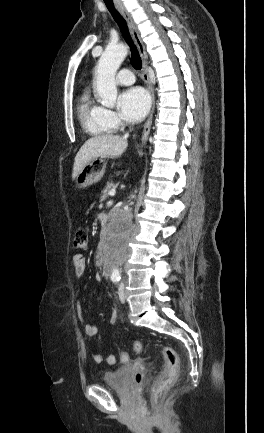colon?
Segmentation results:
<instances>
[{
  "label": "colon",
  "instance_id": "5ec220e1",
  "mask_svg": "<svg viewBox=\"0 0 264 433\" xmlns=\"http://www.w3.org/2000/svg\"><path fill=\"white\" fill-rule=\"evenodd\" d=\"M74 248L77 251H86L89 246L88 233L85 229H78L74 237ZM133 350L136 353L142 351V343L135 341L133 343ZM161 354L164 359V369L159 378V384L161 387L171 386L177 379L179 372V358L177 352L170 346L163 345L161 347ZM129 360V355L126 352L120 354V361L126 363Z\"/></svg>",
  "mask_w": 264,
  "mask_h": 433
}]
</instances>
